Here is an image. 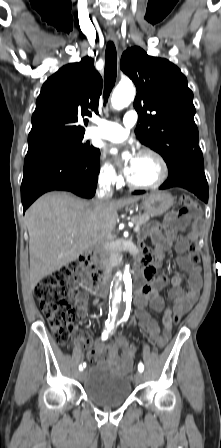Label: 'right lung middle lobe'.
Here are the masks:
<instances>
[{
  "mask_svg": "<svg viewBox=\"0 0 221 448\" xmlns=\"http://www.w3.org/2000/svg\"><path fill=\"white\" fill-rule=\"evenodd\" d=\"M84 135L67 137L51 141L33 148H29L27 153L41 151H55L67 154L81 161H88L99 154V149L90 146L89 142L83 143Z\"/></svg>",
  "mask_w": 221,
  "mask_h": 448,
  "instance_id": "obj_1",
  "label": "right lung middle lobe"
}]
</instances>
